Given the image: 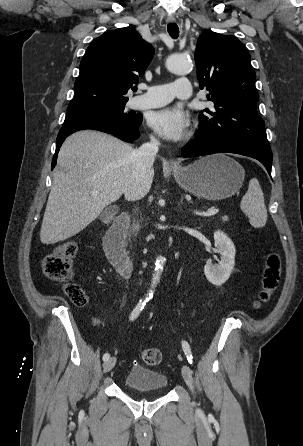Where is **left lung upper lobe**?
<instances>
[{
    "label": "left lung upper lobe",
    "instance_id": "5c2ea615",
    "mask_svg": "<svg viewBox=\"0 0 303 446\" xmlns=\"http://www.w3.org/2000/svg\"><path fill=\"white\" fill-rule=\"evenodd\" d=\"M194 58L200 88L208 90L207 98L214 102L213 110L199 114L198 132L213 138L268 143L256 109V75L242 42L208 30L199 36Z\"/></svg>",
    "mask_w": 303,
    "mask_h": 446
}]
</instances>
